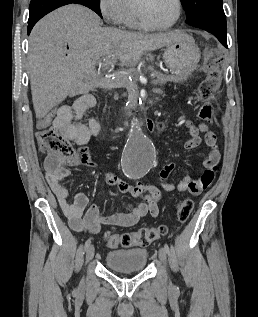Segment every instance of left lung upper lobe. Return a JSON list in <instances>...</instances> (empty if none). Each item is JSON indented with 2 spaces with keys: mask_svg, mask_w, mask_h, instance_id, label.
Listing matches in <instances>:
<instances>
[{
  "mask_svg": "<svg viewBox=\"0 0 258 317\" xmlns=\"http://www.w3.org/2000/svg\"><path fill=\"white\" fill-rule=\"evenodd\" d=\"M189 25L226 29L222 0H181Z\"/></svg>",
  "mask_w": 258,
  "mask_h": 317,
  "instance_id": "1",
  "label": "left lung upper lobe"
}]
</instances>
